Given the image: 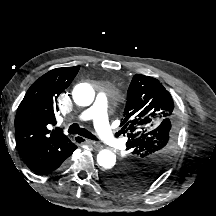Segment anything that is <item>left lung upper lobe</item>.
Segmentation results:
<instances>
[{
  "label": "left lung upper lobe",
  "mask_w": 216,
  "mask_h": 216,
  "mask_svg": "<svg viewBox=\"0 0 216 216\" xmlns=\"http://www.w3.org/2000/svg\"><path fill=\"white\" fill-rule=\"evenodd\" d=\"M122 133L127 154L105 182L134 192L153 183L169 163L179 135V117L170 93L155 78L134 75L127 92Z\"/></svg>",
  "instance_id": "obj_1"
}]
</instances>
